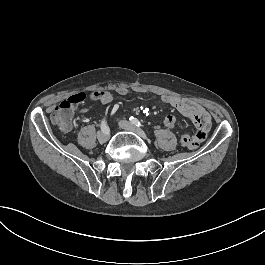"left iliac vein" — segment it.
Masks as SVG:
<instances>
[{"label":"left iliac vein","mask_w":265,"mask_h":265,"mask_svg":"<svg viewBox=\"0 0 265 265\" xmlns=\"http://www.w3.org/2000/svg\"><path fill=\"white\" fill-rule=\"evenodd\" d=\"M119 126L124 130L132 131V132L136 133L137 135H139L144 140L148 139L146 133L143 130L139 129L138 127H136L135 125H133L132 123H130L127 120H121L119 122Z\"/></svg>","instance_id":"1"}]
</instances>
